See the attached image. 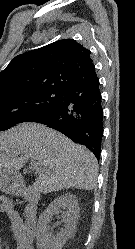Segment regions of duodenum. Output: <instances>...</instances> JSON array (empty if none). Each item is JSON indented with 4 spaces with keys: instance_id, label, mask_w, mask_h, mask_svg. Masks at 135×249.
I'll return each mask as SVG.
<instances>
[{
    "instance_id": "obj_1",
    "label": "duodenum",
    "mask_w": 135,
    "mask_h": 249,
    "mask_svg": "<svg viewBox=\"0 0 135 249\" xmlns=\"http://www.w3.org/2000/svg\"><path fill=\"white\" fill-rule=\"evenodd\" d=\"M22 196L29 203V217H33V213L37 211L38 203H39V195L38 192L33 187H24L22 189Z\"/></svg>"
}]
</instances>
